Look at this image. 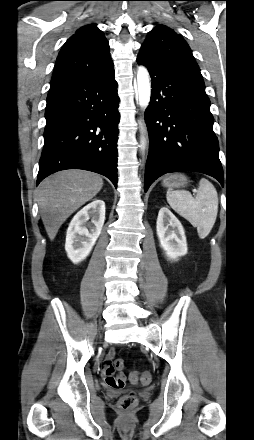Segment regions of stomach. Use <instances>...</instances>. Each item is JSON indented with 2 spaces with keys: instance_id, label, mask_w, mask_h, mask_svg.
<instances>
[{
  "instance_id": "obj_1",
  "label": "stomach",
  "mask_w": 254,
  "mask_h": 440,
  "mask_svg": "<svg viewBox=\"0 0 254 440\" xmlns=\"http://www.w3.org/2000/svg\"><path fill=\"white\" fill-rule=\"evenodd\" d=\"M188 179L184 174H173L163 179V186L169 189L180 188L186 186Z\"/></svg>"
}]
</instances>
